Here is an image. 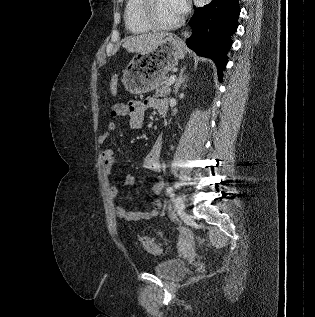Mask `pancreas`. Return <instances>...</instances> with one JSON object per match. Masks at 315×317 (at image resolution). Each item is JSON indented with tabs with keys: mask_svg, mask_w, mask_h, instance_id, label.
I'll return each mask as SVG.
<instances>
[{
	"mask_svg": "<svg viewBox=\"0 0 315 317\" xmlns=\"http://www.w3.org/2000/svg\"><path fill=\"white\" fill-rule=\"evenodd\" d=\"M169 82V78L166 77L163 81V83L161 84V86L156 88L155 91V96L156 97H166L167 95L170 94V86L168 85Z\"/></svg>",
	"mask_w": 315,
	"mask_h": 317,
	"instance_id": "obj_1",
	"label": "pancreas"
}]
</instances>
